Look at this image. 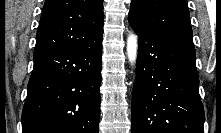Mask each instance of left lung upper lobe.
Returning <instances> with one entry per match:
<instances>
[{"mask_svg": "<svg viewBox=\"0 0 221 133\" xmlns=\"http://www.w3.org/2000/svg\"><path fill=\"white\" fill-rule=\"evenodd\" d=\"M128 20L135 31L193 42L186 0H132Z\"/></svg>", "mask_w": 221, "mask_h": 133, "instance_id": "obj_1", "label": "left lung upper lobe"}]
</instances>
